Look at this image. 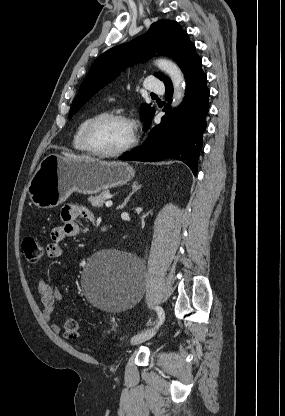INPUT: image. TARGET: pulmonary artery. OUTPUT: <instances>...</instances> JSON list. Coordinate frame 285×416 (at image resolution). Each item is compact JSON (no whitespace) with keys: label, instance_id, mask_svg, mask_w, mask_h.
Masks as SVG:
<instances>
[{"label":"pulmonary artery","instance_id":"e3ab8cb5","mask_svg":"<svg viewBox=\"0 0 285 416\" xmlns=\"http://www.w3.org/2000/svg\"><path fill=\"white\" fill-rule=\"evenodd\" d=\"M151 78L152 77H149V78H147L145 80L144 86H145L146 89L149 90V93H150L151 96H158L160 92H163L164 91V87H163V85H161L159 83H153L151 81L153 79H151ZM113 99L114 100H117L118 99V96L117 95H114L113 96Z\"/></svg>","mask_w":285,"mask_h":416}]
</instances>
